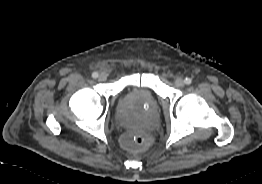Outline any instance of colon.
Masks as SVG:
<instances>
[{"label":"colon","mask_w":262,"mask_h":184,"mask_svg":"<svg viewBox=\"0 0 262 184\" xmlns=\"http://www.w3.org/2000/svg\"><path fill=\"white\" fill-rule=\"evenodd\" d=\"M122 142L126 149L139 151L148 146L149 138L143 133L127 134L123 137Z\"/></svg>","instance_id":"1"}]
</instances>
